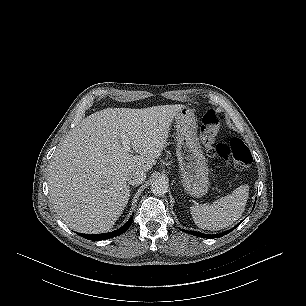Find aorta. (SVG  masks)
I'll return each mask as SVG.
<instances>
[{"instance_id": "762f6f07", "label": "aorta", "mask_w": 306, "mask_h": 306, "mask_svg": "<svg viewBox=\"0 0 306 306\" xmlns=\"http://www.w3.org/2000/svg\"><path fill=\"white\" fill-rule=\"evenodd\" d=\"M168 185L162 179H156L151 184V192L156 196H162L167 193Z\"/></svg>"}]
</instances>
